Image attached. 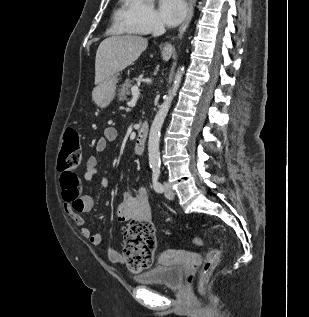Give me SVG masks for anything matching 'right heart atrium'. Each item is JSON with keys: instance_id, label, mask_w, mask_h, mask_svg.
<instances>
[{"instance_id": "d8ad5b80", "label": "right heart atrium", "mask_w": 309, "mask_h": 317, "mask_svg": "<svg viewBox=\"0 0 309 317\" xmlns=\"http://www.w3.org/2000/svg\"><path fill=\"white\" fill-rule=\"evenodd\" d=\"M121 18L125 28L137 34H149L163 27L151 0H125Z\"/></svg>"}]
</instances>
